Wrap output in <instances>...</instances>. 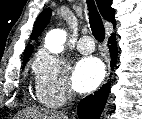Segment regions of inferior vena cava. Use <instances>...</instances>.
<instances>
[{
    "label": "inferior vena cava",
    "instance_id": "obj_1",
    "mask_svg": "<svg viewBox=\"0 0 142 119\" xmlns=\"http://www.w3.org/2000/svg\"><path fill=\"white\" fill-rule=\"evenodd\" d=\"M68 100L71 102L73 100V93L69 91Z\"/></svg>",
    "mask_w": 142,
    "mask_h": 119
}]
</instances>
